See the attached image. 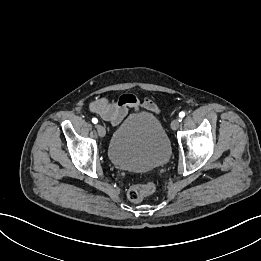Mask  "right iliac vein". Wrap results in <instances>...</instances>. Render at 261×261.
Returning a JSON list of instances; mask_svg holds the SVG:
<instances>
[{
  "mask_svg": "<svg viewBox=\"0 0 261 261\" xmlns=\"http://www.w3.org/2000/svg\"><path fill=\"white\" fill-rule=\"evenodd\" d=\"M97 131L100 137H104L106 134V130L103 126L97 125Z\"/></svg>",
  "mask_w": 261,
  "mask_h": 261,
  "instance_id": "right-iliac-vein-1",
  "label": "right iliac vein"
}]
</instances>
